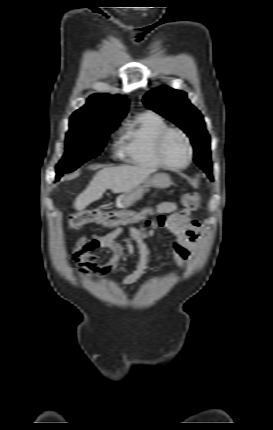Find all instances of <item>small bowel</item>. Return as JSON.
I'll return each instance as SVG.
<instances>
[{"label": "small bowel", "mask_w": 273, "mask_h": 430, "mask_svg": "<svg viewBox=\"0 0 273 430\" xmlns=\"http://www.w3.org/2000/svg\"><path fill=\"white\" fill-rule=\"evenodd\" d=\"M156 210L162 214L157 220H153L141 228L127 227L130 237L136 243L138 258L135 270L122 278L118 282L119 286L137 282L149 269L151 252L146 240L154 236L156 228H166L173 234L175 240L171 254L180 268L186 265L200 240V225L190 216V212L178 211L177 206L171 202L158 204ZM123 231V227H117L107 234L81 238L79 244L86 245L89 252L82 251L79 258L74 259V262L78 263L79 271L103 274L118 266L123 260L125 252L124 247L117 242V238ZM99 248L109 249L112 253L111 260L105 265H101L99 259L90 254V251Z\"/></svg>", "instance_id": "small-bowel-1"}]
</instances>
